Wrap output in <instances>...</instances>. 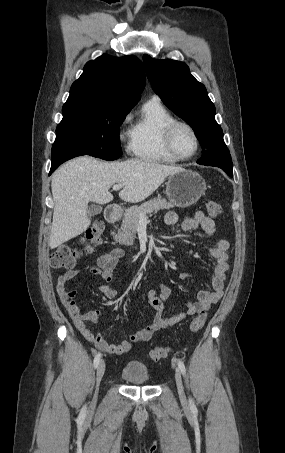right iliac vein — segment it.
Returning <instances> with one entry per match:
<instances>
[{
  "label": "right iliac vein",
  "mask_w": 285,
  "mask_h": 453,
  "mask_svg": "<svg viewBox=\"0 0 285 453\" xmlns=\"http://www.w3.org/2000/svg\"><path fill=\"white\" fill-rule=\"evenodd\" d=\"M104 373H105V362L101 361L99 363V365L97 367V371H96V389H95L93 402H92L93 405L95 404V402L97 400V393H98L99 385L103 378Z\"/></svg>",
  "instance_id": "right-iliac-vein-1"
}]
</instances>
